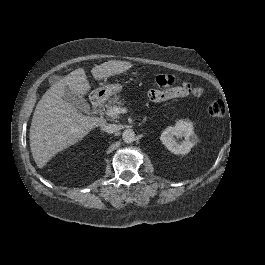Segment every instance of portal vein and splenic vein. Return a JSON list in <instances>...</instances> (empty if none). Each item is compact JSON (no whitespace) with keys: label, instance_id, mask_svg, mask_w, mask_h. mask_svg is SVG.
Masks as SVG:
<instances>
[{"label":"portal vein and splenic vein","instance_id":"18ae733b","mask_svg":"<svg viewBox=\"0 0 265 265\" xmlns=\"http://www.w3.org/2000/svg\"><path fill=\"white\" fill-rule=\"evenodd\" d=\"M119 113H127V110L125 108H120V107H113L109 112H107L106 114L108 116H115Z\"/></svg>","mask_w":265,"mask_h":265}]
</instances>
